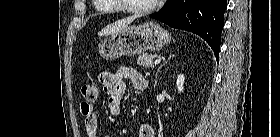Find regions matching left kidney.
Here are the masks:
<instances>
[{"instance_id": "1", "label": "left kidney", "mask_w": 280, "mask_h": 137, "mask_svg": "<svg viewBox=\"0 0 280 137\" xmlns=\"http://www.w3.org/2000/svg\"><path fill=\"white\" fill-rule=\"evenodd\" d=\"M184 82H185V77L183 74H179L177 77L176 85L178 88L179 93L183 92L184 90Z\"/></svg>"}]
</instances>
